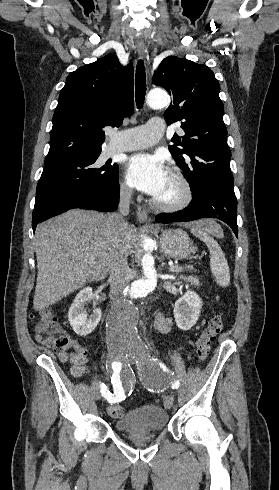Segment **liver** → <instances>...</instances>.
Returning a JSON list of instances; mask_svg holds the SVG:
<instances>
[{
    "label": "liver",
    "instance_id": "6515ba94",
    "mask_svg": "<svg viewBox=\"0 0 279 490\" xmlns=\"http://www.w3.org/2000/svg\"><path fill=\"white\" fill-rule=\"evenodd\" d=\"M109 214L69 210L38 224L35 232L37 284L34 310H44L83 288L85 282L105 280L117 256H130L136 238L128 226L127 238L108 226ZM197 222L185 224L189 228Z\"/></svg>",
    "mask_w": 279,
    "mask_h": 490
}]
</instances>
